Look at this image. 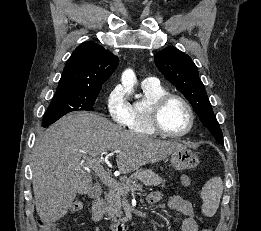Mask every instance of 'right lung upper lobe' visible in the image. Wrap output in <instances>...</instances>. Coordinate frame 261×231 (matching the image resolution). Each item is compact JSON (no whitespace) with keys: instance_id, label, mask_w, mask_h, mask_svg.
I'll return each instance as SVG.
<instances>
[{"instance_id":"obj_1","label":"right lung upper lobe","mask_w":261,"mask_h":231,"mask_svg":"<svg viewBox=\"0 0 261 231\" xmlns=\"http://www.w3.org/2000/svg\"><path fill=\"white\" fill-rule=\"evenodd\" d=\"M119 59L102 46L84 42L67 60L56 91L100 90Z\"/></svg>"}]
</instances>
